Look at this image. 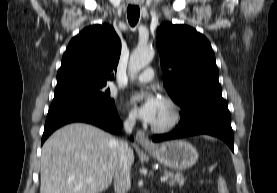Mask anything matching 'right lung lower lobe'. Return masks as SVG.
Listing matches in <instances>:
<instances>
[{"mask_svg": "<svg viewBox=\"0 0 277 193\" xmlns=\"http://www.w3.org/2000/svg\"><path fill=\"white\" fill-rule=\"evenodd\" d=\"M71 122H86L112 133H118L122 127L115 107H103L76 99L54 98L47 114L41 144L53 131Z\"/></svg>", "mask_w": 277, "mask_h": 193, "instance_id": "98d812e1", "label": "right lung lower lobe"}]
</instances>
